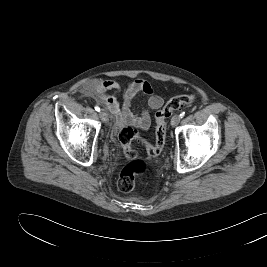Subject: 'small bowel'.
Here are the masks:
<instances>
[{"label": "small bowel", "instance_id": "small-bowel-1", "mask_svg": "<svg viewBox=\"0 0 267 267\" xmlns=\"http://www.w3.org/2000/svg\"><path fill=\"white\" fill-rule=\"evenodd\" d=\"M120 89V84L114 80L94 79L84 85L85 93L95 97L110 111L118 127L148 129L152 121L150 112L162 107L163 98L155 92L150 82L135 79L124 90L123 102L120 105L116 97ZM139 94L147 97V106L140 113H136L132 104Z\"/></svg>", "mask_w": 267, "mask_h": 267}]
</instances>
